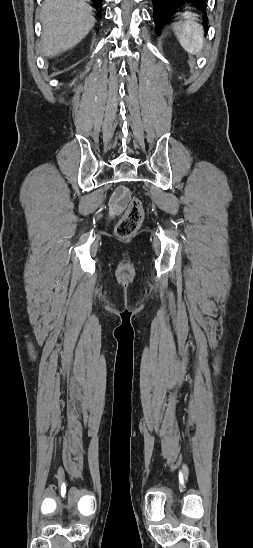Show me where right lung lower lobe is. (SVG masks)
Listing matches in <instances>:
<instances>
[{"mask_svg":"<svg viewBox=\"0 0 253 548\" xmlns=\"http://www.w3.org/2000/svg\"><path fill=\"white\" fill-rule=\"evenodd\" d=\"M92 1L101 8L103 0H92Z\"/></svg>","mask_w":253,"mask_h":548,"instance_id":"right-lung-lower-lobe-1","label":"right lung lower lobe"}]
</instances>
